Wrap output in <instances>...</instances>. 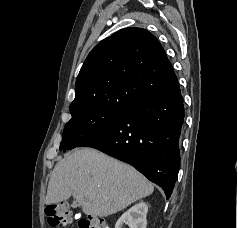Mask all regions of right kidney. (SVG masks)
Masks as SVG:
<instances>
[{
    "label": "right kidney",
    "instance_id": "obj_1",
    "mask_svg": "<svg viewBox=\"0 0 238 228\" xmlns=\"http://www.w3.org/2000/svg\"><path fill=\"white\" fill-rule=\"evenodd\" d=\"M148 206L145 202H140L126 211L116 222L115 228H122L128 225L129 228H146Z\"/></svg>",
    "mask_w": 238,
    "mask_h": 228
}]
</instances>
